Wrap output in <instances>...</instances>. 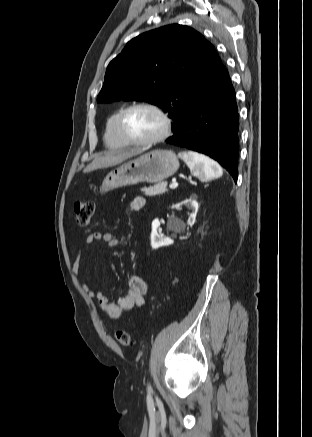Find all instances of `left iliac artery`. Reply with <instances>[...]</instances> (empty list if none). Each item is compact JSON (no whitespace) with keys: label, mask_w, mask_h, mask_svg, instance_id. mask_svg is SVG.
I'll use <instances>...</instances> for the list:
<instances>
[{"label":"left iliac artery","mask_w":312,"mask_h":437,"mask_svg":"<svg viewBox=\"0 0 312 437\" xmlns=\"http://www.w3.org/2000/svg\"><path fill=\"white\" fill-rule=\"evenodd\" d=\"M147 391H148V395H151L153 393V390H152V387L150 384H148Z\"/></svg>","instance_id":"44dca946"}]
</instances>
